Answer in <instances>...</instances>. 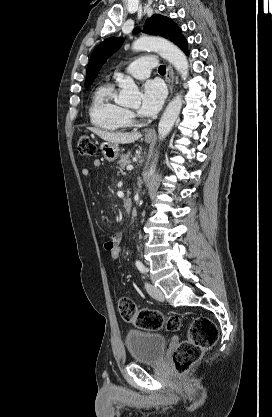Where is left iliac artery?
I'll use <instances>...</instances> for the list:
<instances>
[{
  "instance_id": "obj_1",
  "label": "left iliac artery",
  "mask_w": 272,
  "mask_h": 417,
  "mask_svg": "<svg viewBox=\"0 0 272 417\" xmlns=\"http://www.w3.org/2000/svg\"><path fill=\"white\" fill-rule=\"evenodd\" d=\"M136 267L142 273H146L147 272V269L145 268V266L143 265V263L140 262V261H136Z\"/></svg>"
}]
</instances>
